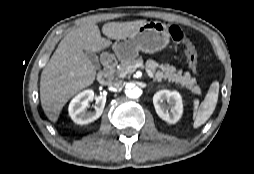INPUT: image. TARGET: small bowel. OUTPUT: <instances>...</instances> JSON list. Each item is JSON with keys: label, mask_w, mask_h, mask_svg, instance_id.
<instances>
[{"label": "small bowel", "mask_w": 254, "mask_h": 174, "mask_svg": "<svg viewBox=\"0 0 254 174\" xmlns=\"http://www.w3.org/2000/svg\"><path fill=\"white\" fill-rule=\"evenodd\" d=\"M148 66L152 69H154L156 67V63L152 60L148 61Z\"/></svg>", "instance_id": "small-bowel-1"}]
</instances>
